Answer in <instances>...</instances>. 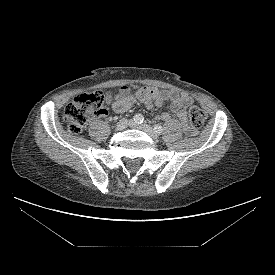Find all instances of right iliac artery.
Here are the masks:
<instances>
[{
	"label": "right iliac artery",
	"mask_w": 275,
	"mask_h": 275,
	"mask_svg": "<svg viewBox=\"0 0 275 275\" xmlns=\"http://www.w3.org/2000/svg\"><path fill=\"white\" fill-rule=\"evenodd\" d=\"M133 120L135 123L137 124H141L143 121H144V117L142 114H136L134 117H133Z\"/></svg>",
	"instance_id": "right-iliac-artery-1"
}]
</instances>
